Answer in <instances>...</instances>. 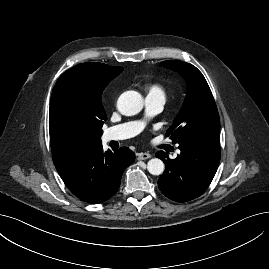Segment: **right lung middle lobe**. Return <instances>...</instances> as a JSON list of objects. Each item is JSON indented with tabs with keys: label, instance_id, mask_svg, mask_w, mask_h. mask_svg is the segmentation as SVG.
<instances>
[{
	"label": "right lung middle lobe",
	"instance_id": "right-lung-middle-lobe-1",
	"mask_svg": "<svg viewBox=\"0 0 269 269\" xmlns=\"http://www.w3.org/2000/svg\"><path fill=\"white\" fill-rule=\"evenodd\" d=\"M103 123L84 110L72 108L65 97L57 98L50 125L52 157L64 161L87 150L102 135Z\"/></svg>",
	"mask_w": 269,
	"mask_h": 269
}]
</instances>
